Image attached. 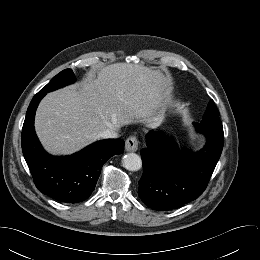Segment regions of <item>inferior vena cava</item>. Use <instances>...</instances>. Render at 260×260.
<instances>
[{
  "label": "inferior vena cava",
  "mask_w": 260,
  "mask_h": 260,
  "mask_svg": "<svg viewBox=\"0 0 260 260\" xmlns=\"http://www.w3.org/2000/svg\"><path fill=\"white\" fill-rule=\"evenodd\" d=\"M100 138H117L118 137V133L117 131L113 130V129H106L103 132H101L99 134Z\"/></svg>",
  "instance_id": "1"
}]
</instances>
